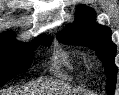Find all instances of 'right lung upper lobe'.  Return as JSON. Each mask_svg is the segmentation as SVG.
I'll return each mask as SVG.
<instances>
[{
  "label": "right lung upper lobe",
  "instance_id": "1",
  "mask_svg": "<svg viewBox=\"0 0 119 95\" xmlns=\"http://www.w3.org/2000/svg\"><path fill=\"white\" fill-rule=\"evenodd\" d=\"M0 37H14V33L13 32H8L6 34L0 35Z\"/></svg>",
  "mask_w": 119,
  "mask_h": 95
}]
</instances>
